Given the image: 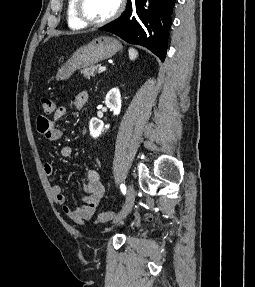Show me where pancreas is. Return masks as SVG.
I'll use <instances>...</instances> for the list:
<instances>
[{
	"label": "pancreas",
	"instance_id": "obj_1",
	"mask_svg": "<svg viewBox=\"0 0 255 287\" xmlns=\"http://www.w3.org/2000/svg\"><path fill=\"white\" fill-rule=\"evenodd\" d=\"M98 68H100V66H90V68H84V70H81V74L90 80L91 76H94V72H96Z\"/></svg>",
	"mask_w": 255,
	"mask_h": 287
}]
</instances>
